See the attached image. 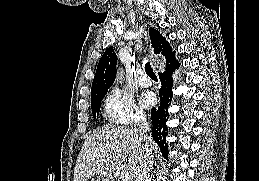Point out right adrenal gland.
<instances>
[{"instance_id": "1", "label": "right adrenal gland", "mask_w": 259, "mask_h": 181, "mask_svg": "<svg viewBox=\"0 0 259 181\" xmlns=\"http://www.w3.org/2000/svg\"><path fill=\"white\" fill-rule=\"evenodd\" d=\"M149 181H152V175L150 176Z\"/></svg>"}]
</instances>
